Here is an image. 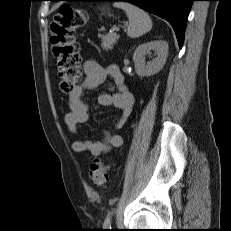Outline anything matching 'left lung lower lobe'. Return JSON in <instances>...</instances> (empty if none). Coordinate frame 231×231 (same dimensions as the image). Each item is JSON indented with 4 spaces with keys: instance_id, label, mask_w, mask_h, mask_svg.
<instances>
[{
    "instance_id": "obj_1",
    "label": "left lung lower lobe",
    "mask_w": 231,
    "mask_h": 231,
    "mask_svg": "<svg viewBox=\"0 0 231 231\" xmlns=\"http://www.w3.org/2000/svg\"><path fill=\"white\" fill-rule=\"evenodd\" d=\"M59 1V0H53ZM87 1H127L166 19L173 27L179 47L184 42L187 18L194 0H87Z\"/></svg>"
}]
</instances>
